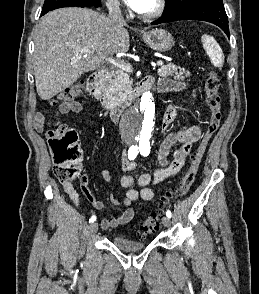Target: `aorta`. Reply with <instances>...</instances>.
I'll use <instances>...</instances> for the list:
<instances>
[{
  "label": "aorta",
  "instance_id": "obj_1",
  "mask_svg": "<svg viewBox=\"0 0 259 294\" xmlns=\"http://www.w3.org/2000/svg\"><path fill=\"white\" fill-rule=\"evenodd\" d=\"M154 126V99L152 93L146 91L139 103L123 116L121 130L132 141H150L154 134Z\"/></svg>",
  "mask_w": 259,
  "mask_h": 294
}]
</instances>
